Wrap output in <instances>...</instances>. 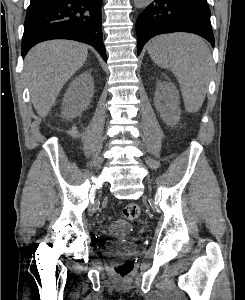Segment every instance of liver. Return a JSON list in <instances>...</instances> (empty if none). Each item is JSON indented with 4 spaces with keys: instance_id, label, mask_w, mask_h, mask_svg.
Segmentation results:
<instances>
[{
    "instance_id": "6515ba94",
    "label": "liver",
    "mask_w": 245,
    "mask_h": 300,
    "mask_svg": "<svg viewBox=\"0 0 245 300\" xmlns=\"http://www.w3.org/2000/svg\"><path fill=\"white\" fill-rule=\"evenodd\" d=\"M87 47L67 40H53L33 47L24 61V78L37 113L46 117L58 94L85 63Z\"/></svg>"
}]
</instances>
